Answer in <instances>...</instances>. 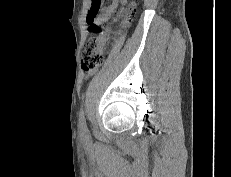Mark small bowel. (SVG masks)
<instances>
[{"mask_svg": "<svg viewBox=\"0 0 231 177\" xmlns=\"http://www.w3.org/2000/svg\"><path fill=\"white\" fill-rule=\"evenodd\" d=\"M102 1L103 0H92V6L91 9L89 10L88 13V24L90 25V15L93 12L94 9H97V13L94 19V24L96 25H100L103 22H105L108 17L115 11V9L117 8L118 5V0H111L110 4L104 8H101L102 5ZM89 74H86V76H88Z\"/></svg>", "mask_w": 231, "mask_h": 177, "instance_id": "small-bowel-1", "label": "small bowel"}]
</instances>
